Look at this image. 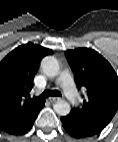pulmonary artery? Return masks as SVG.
Wrapping results in <instances>:
<instances>
[{"instance_id": "e3ab8cb5", "label": "pulmonary artery", "mask_w": 118, "mask_h": 142, "mask_svg": "<svg viewBox=\"0 0 118 142\" xmlns=\"http://www.w3.org/2000/svg\"><path fill=\"white\" fill-rule=\"evenodd\" d=\"M61 84L64 88L65 93L67 96L72 100L75 101L77 99V94L72 87L71 78L68 73H64L61 77Z\"/></svg>"}]
</instances>
